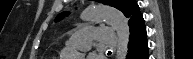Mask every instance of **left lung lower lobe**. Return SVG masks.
Masks as SVG:
<instances>
[{"label":"left lung lower lobe","mask_w":193,"mask_h":59,"mask_svg":"<svg viewBox=\"0 0 193 59\" xmlns=\"http://www.w3.org/2000/svg\"><path fill=\"white\" fill-rule=\"evenodd\" d=\"M130 41L126 59H148V43L143 16L135 12L129 19Z\"/></svg>","instance_id":"1"}]
</instances>
